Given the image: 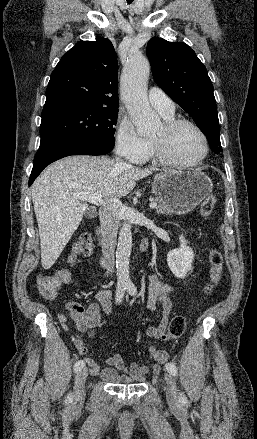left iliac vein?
Wrapping results in <instances>:
<instances>
[{"label":"left iliac vein","instance_id":"1","mask_svg":"<svg viewBox=\"0 0 257 439\" xmlns=\"http://www.w3.org/2000/svg\"><path fill=\"white\" fill-rule=\"evenodd\" d=\"M164 377H165V382H166L167 399L169 402L175 403L178 399V393H177L175 379L169 373H166Z\"/></svg>","mask_w":257,"mask_h":439}]
</instances>
